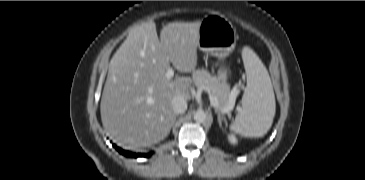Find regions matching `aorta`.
<instances>
[{"label":"aorta","mask_w":365,"mask_h":180,"mask_svg":"<svg viewBox=\"0 0 365 180\" xmlns=\"http://www.w3.org/2000/svg\"><path fill=\"white\" fill-rule=\"evenodd\" d=\"M194 120L198 123H204L207 120V115L204 111L198 110L194 114Z\"/></svg>","instance_id":"1"}]
</instances>
